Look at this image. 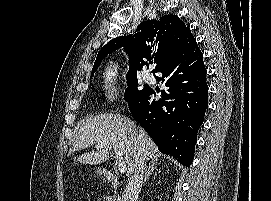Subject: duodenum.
I'll use <instances>...</instances> for the list:
<instances>
[{"label": "duodenum", "instance_id": "410a0bca", "mask_svg": "<svg viewBox=\"0 0 271 201\" xmlns=\"http://www.w3.org/2000/svg\"><path fill=\"white\" fill-rule=\"evenodd\" d=\"M106 180L108 184L114 188H118L120 186L119 180L113 173L110 172L106 173Z\"/></svg>", "mask_w": 271, "mask_h": 201}]
</instances>
